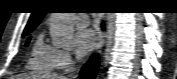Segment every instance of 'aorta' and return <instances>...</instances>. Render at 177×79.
Masks as SVG:
<instances>
[{
  "instance_id": "1",
  "label": "aorta",
  "mask_w": 177,
  "mask_h": 79,
  "mask_svg": "<svg viewBox=\"0 0 177 79\" xmlns=\"http://www.w3.org/2000/svg\"><path fill=\"white\" fill-rule=\"evenodd\" d=\"M50 35L54 46L63 48L73 43L74 27L68 13H52L50 19Z\"/></svg>"
}]
</instances>
